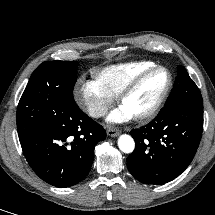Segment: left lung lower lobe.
Instances as JSON below:
<instances>
[{
	"mask_svg": "<svg viewBox=\"0 0 215 215\" xmlns=\"http://www.w3.org/2000/svg\"><path fill=\"white\" fill-rule=\"evenodd\" d=\"M202 129L203 107L165 105L149 124L130 132L136 149L127 159L128 170L145 184L175 179L191 163Z\"/></svg>",
	"mask_w": 215,
	"mask_h": 215,
	"instance_id": "0a47b994",
	"label": "left lung lower lobe"
}]
</instances>
